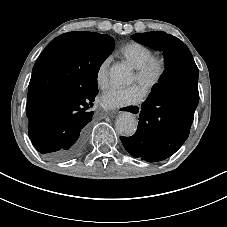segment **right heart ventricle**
Here are the masks:
<instances>
[{
    "instance_id": "e07e8e85",
    "label": "right heart ventricle",
    "mask_w": 227,
    "mask_h": 227,
    "mask_svg": "<svg viewBox=\"0 0 227 227\" xmlns=\"http://www.w3.org/2000/svg\"><path fill=\"white\" fill-rule=\"evenodd\" d=\"M120 53L134 69L140 68L153 56L150 47L136 41H131L121 46Z\"/></svg>"
}]
</instances>
